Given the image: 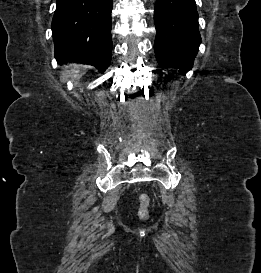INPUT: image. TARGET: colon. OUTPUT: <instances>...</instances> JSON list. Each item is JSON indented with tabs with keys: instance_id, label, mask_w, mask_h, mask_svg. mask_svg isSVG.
<instances>
[{
	"instance_id": "5ec220e1",
	"label": "colon",
	"mask_w": 261,
	"mask_h": 273,
	"mask_svg": "<svg viewBox=\"0 0 261 273\" xmlns=\"http://www.w3.org/2000/svg\"><path fill=\"white\" fill-rule=\"evenodd\" d=\"M150 197L147 194H142L139 197V208H138V216L140 218H147L149 215V207Z\"/></svg>"
}]
</instances>
